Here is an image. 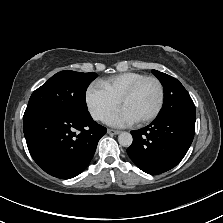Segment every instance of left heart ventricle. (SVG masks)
<instances>
[{
    "label": "left heart ventricle",
    "instance_id": "obj_1",
    "mask_svg": "<svg viewBox=\"0 0 223 223\" xmlns=\"http://www.w3.org/2000/svg\"><path fill=\"white\" fill-rule=\"evenodd\" d=\"M157 101L158 88L153 81H147L133 96L123 101L121 107L136 121L150 115L155 109Z\"/></svg>",
    "mask_w": 223,
    "mask_h": 223
}]
</instances>
